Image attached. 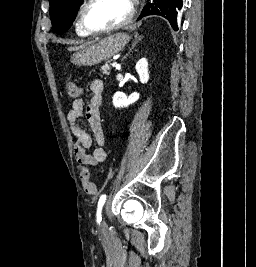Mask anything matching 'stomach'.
I'll list each match as a JSON object with an SVG mask.
<instances>
[{"label":"stomach","instance_id":"obj_1","mask_svg":"<svg viewBox=\"0 0 256 267\" xmlns=\"http://www.w3.org/2000/svg\"><path fill=\"white\" fill-rule=\"evenodd\" d=\"M130 36L125 32H119V34H112L107 38L99 40L98 44H89L85 46L79 52H76L72 56L73 64L77 66H95V64H101L104 60L116 56L125 44H128Z\"/></svg>","mask_w":256,"mask_h":267}]
</instances>
